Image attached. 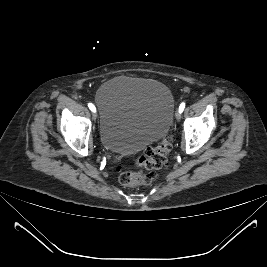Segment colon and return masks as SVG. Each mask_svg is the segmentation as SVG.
I'll list each match as a JSON object with an SVG mask.
<instances>
[{
    "label": "colon",
    "instance_id": "colon-1",
    "mask_svg": "<svg viewBox=\"0 0 267 267\" xmlns=\"http://www.w3.org/2000/svg\"><path fill=\"white\" fill-rule=\"evenodd\" d=\"M171 150V142L168 137H164L155 146L144 149L135 161V165L148 171H153L164 167L168 162V154ZM120 183L124 186L148 185L152 182L153 176L150 173L140 171H125L120 174Z\"/></svg>",
    "mask_w": 267,
    "mask_h": 267
}]
</instances>
